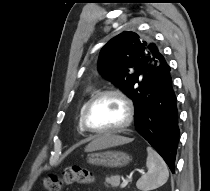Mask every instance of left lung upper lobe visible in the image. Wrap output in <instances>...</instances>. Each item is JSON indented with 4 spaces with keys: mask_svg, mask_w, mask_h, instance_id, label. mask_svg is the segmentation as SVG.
I'll use <instances>...</instances> for the list:
<instances>
[{
    "mask_svg": "<svg viewBox=\"0 0 210 191\" xmlns=\"http://www.w3.org/2000/svg\"><path fill=\"white\" fill-rule=\"evenodd\" d=\"M158 48L135 32L125 31L111 39L100 51L98 68L135 106L142 94L152 88V79L165 64Z\"/></svg>",
    "mask_w": 210,
    "mask_h": 191,
    "instance_id": "5c2ea615",
    "label": "left lung upper lobe"
}]
</instances>
